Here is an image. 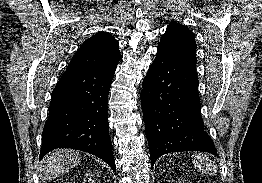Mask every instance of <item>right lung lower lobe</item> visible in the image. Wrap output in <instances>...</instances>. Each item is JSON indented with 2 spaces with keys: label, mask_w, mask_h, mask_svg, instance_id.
<instances>
[{
  "label": "right lung lower lobe",
  "mask_w": 262,
  "mask_h": 183,
  "mask_svg": "<svg viewBox=\"0 0 262 183\" xmlns=\"http://www.w3.org/2000/svg\"><path fill=\"white\" fill-rule=\"evenodd\" d=\"M116 68L63 73L52 92L40 160L55 148H73L101 158L115 171L107 101Z\"/></svg>",
  "instance_id": "1"
}]
</instances>
